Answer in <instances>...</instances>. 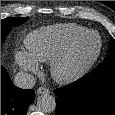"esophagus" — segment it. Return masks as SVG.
Masks as SVG:
<instances>
[{"label":"esophagus","instance_id":"obj_1","mask_svg":"<svg viewBox=\"0 0 115 115\" xmlns=\"http://www.w3.org/2000/svg\"><path fill=\"white\" fill-rule=\"evenodd\" d=\"M50 93V90L45 88V87H40L37 89V94L40 95V94H49Z\"/></svg>","mask_w":115,"mask_h":115}]
</instances>
